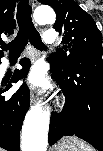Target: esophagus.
<instances>
[{
  "label": "esophagus",
  "instance_id": "34e87169",
  "mask_svg": "<svg viewBox=\"0 0 103 151\" xmlns=\"http://www.w3.org/2000/svg\"><path fill=\"white\" fill-rule=\"evenodd\" d=\"M30 4L34 7L37 4V0H30ZM31 104H35L39 101V91H37L36 89H32L31 90Z\"/></svg>",
  "mask_w": 103,
  "mask_h": 151
}]
</instances>
